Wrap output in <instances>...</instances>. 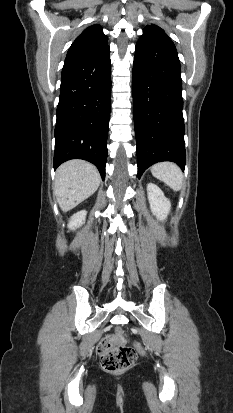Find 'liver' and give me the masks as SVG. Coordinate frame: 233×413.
Listing matches in <instances>:
<instances>
[{
  "label": "liver",
  "instance_id": "6515ba94",
  "mask_svg": "<svg viewBox=\"0 0 233 413\" xmlns=\"http://www.w3.org/2000/svg\"><path fill=\"white\" fill-rule=\"evenodd\" d=\"M97 168L84 160H70L56 171L54 195L63 212L75 208L94 194L100 184Z\"/></svg>",
  "mask_w": 233,
  "mask_h": 413
}]
</instances>
